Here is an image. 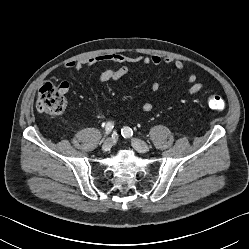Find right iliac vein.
I'll list each match as a JSON object with an SVG mask.
<instances>
[{
    "label": "right iliac vein",
    "mask_w": 249,
    "mask_h": 249,
    "mask_svg": "<svg viewBox=\"0 0 249 249\" xmlns=\"http://www.w3.org/2000/svg\"><path fill=\"white\" fill-rule=\"evenodd\" d=\"M112 147V139L108 138L102 145V150L108 152Z\"/></svg>",
    "instance_id": "right-iliac-vein-1"
}]
</instances>
